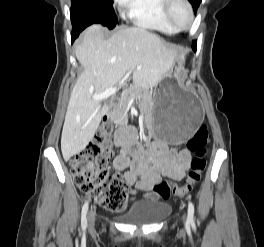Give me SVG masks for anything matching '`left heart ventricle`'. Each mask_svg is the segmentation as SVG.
Returning a JSON list of instances; mask_svg holds the SVG:
<instances>
[{
	"mask_svg": "<svg viewBox=\"0 0 264 247\" xmlns=\"http://www.w3.org/2000/svg\"><path fill=\"white\" fill-rule=\"evenodd\" d=\"M174 18L180 26H186L189 23L190 16L185 5L179 3L175 6Z\"/></svg>",
	"mask_w": 264,
	"mask_h": 247,
	"instance_id": "left-heart-ventricle-1",
	"label": "left heart ventricle"
}]
</instances>
